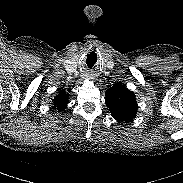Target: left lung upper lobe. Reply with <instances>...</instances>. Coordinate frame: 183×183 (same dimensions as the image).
<instances>
[{
    "label": "left lung upper lobe",
    "mask_w": 183,
    "mask_h": 183,
    "mask_svg": "<svg viewBox=\"0 0 183 183\" xmlns=\"http://www.w3.org/2000/svg\"><path fill=\"white\" fill-rule=\"evenodd\" d=\"M105 95L106 105L117 121L128 122L135 118L138 108L135 94L125 85L114 84Z\"/></svg>",
    "instance_id": "5c2ea615"
}]
</instances>
